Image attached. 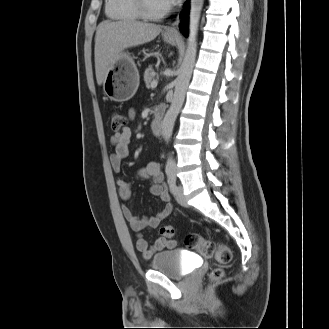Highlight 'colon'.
<instances>
[{
	"instance_id": "obj_1",
	"label": "colon",
	"mask_w": 329,
	"mask_h": 329,
	"mask_svg": "<svg viewBox=\"0 0 329 329\" xmlns=\"http://www.w3.org/2000/svg\"><path fill=\"white\" fill-rule=\"evenodd\" d=\"M111 128L115 133L122 131L127 125L126 116L117 110L110 113ZM160 233L164 238H172L175 236L176 228L172 225L163 226ZM185 244L188 248L197 251L203 257L214 258L222 264H227L231 261L232 254L230 249L221 243H213L208 238L198 234L190 233L185 239ZM224 272L221 268H216L211 272L212 280H219L223 277Z\"/></svg>"
}]
</instances>
